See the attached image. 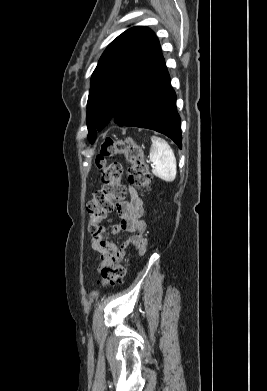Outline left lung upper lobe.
Listing matches in <instances>:
<instances>
[{
	"label": "left lung upper lobe",
	"instance_id": "5c2ea615",
	"mask_svg": "<svg viewBox=\"0 0 267 391\" xmlns=\"http://www.w3.org/2000/svg\"><path fill=\"white\" fill-rule=\"evenodd\" d=\"M161 58L156 35L144 26L126 30L109 44L91 77L87 126L92 143L131 89Z\"/></svg>",
	"mask_w": 267,
	"mask_h": 391
}]
</instances>
